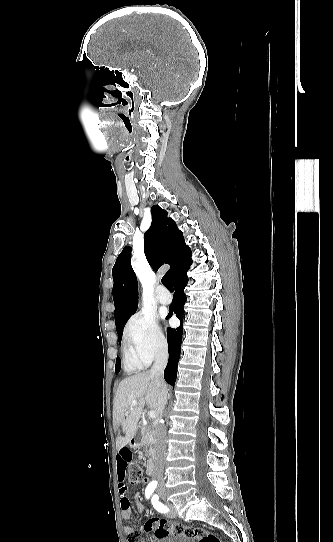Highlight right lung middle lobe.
<instances>
[{
    "instance_id": "1",
    "label": "right lung middle lobe",
    "mask_w": 333,
    "mask_h": 542,
    "mask_svg": "<svg viewBox=\"0 0 333 542\" xmlns=\"http://www.w3.org/2000/svg\"><path fill=\"white\" fill-rule=\"evenodd\" d=\"M134 314V313H132ZM128 315L126 318H124L121 322H119L118 324H116V330H117V333H118V341H119V344L121 343V338H122V333H123V328H124V325L125 323L127 322V320L130 318V316L132 315ZM120 368H121V364H120V358L117 357L116 359V366H115V372L118 373L120 371Z\"/></svg>"
}]
</instances>
